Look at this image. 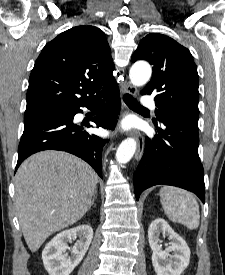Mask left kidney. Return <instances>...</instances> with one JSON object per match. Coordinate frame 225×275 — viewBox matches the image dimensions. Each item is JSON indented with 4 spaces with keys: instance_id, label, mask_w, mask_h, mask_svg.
Segmentation results:
<instances>
[{
    "instance_id": "obj_1",
    "label": "left kidney",
    "mask_w": 225,
    "mask_h": 275,
    "mask_svg": "<svg viewBox=\"0 0 225 275\" xmlns=\"http://www.w3.org/2000/svg\"><path fill=\"white\" fill-rule=\"evenodd\" d=\"M168 236L169 246L162 250L160 235ZM149 245L153 251L152 264L157 275H181L190 262V249L179 236L161 218L154 220L148 229ZM173 252V255H170Z\"/></svg>"
}]
</instances>
